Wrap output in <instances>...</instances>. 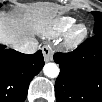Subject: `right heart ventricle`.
Instances as JSON below:
<instances>
[{"label": "right heart ventricle", "mask_w": 102, "mask_h": 102, "mask_svg": "<svg viewBox=\"0 0 102 102\" xmlns=\"http://www.w3.org/2000/svg\"><path fill=\"white\" fill-rule=\"evenodd\" d=\"M74 19L70 17H62L54 21L44 32L48 38L57 37L71 28Z\"/></svg>", "instance_id": "1"}]
</instances>
